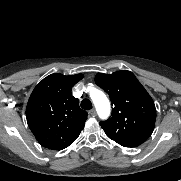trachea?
I'll use <instances>...</instances> for the list:
<instances>
[{
	"instance_id": "1",
	"label": "trachea",
	"mask_w": 181,
	"mask_h": 181,
	"mask_svg": "<svg viewBox=\"0 0 181 181\" xmlns=\"http://www.w3.org/2000/svg\"><path fill=\"white\" fill-rule=\"evenodd\" d=\"M81 108L85 110L92 109V103L89 99H83L81 102Z\"/></svg>"
}]
</instances>
